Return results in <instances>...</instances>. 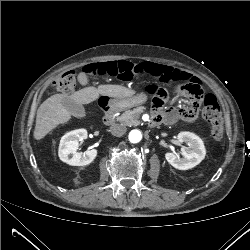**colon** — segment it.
Instances as JSON below:
<instances>
[{
	"label": "colon",
	"mask_w": 250,
	"mask_h": 250,
	"mask_svg": "<svg viewBox=\"0 0 250 250\" xmlns=\"http://www.w3.org/2000/svg\"><path fill=\"white\" fill-rule=\"evenodd\" d=\"M143 70L139 65H134L126 61H115L90 64L83 69V73L87 76H110L119 80H129L135 73ZM75 85L76 74L72 70L63 73L53 82V87L63 93L72 92ZM161 89L163 88L153 91L155 98L159 97ZM189 94L195 97L199 94V91L191 90ZM203 103V117L210 126L211 137L214 141L220 142L223 138V122L219 103L212 94L204 95Z\"/></svg>",
	"instance_id": "colon-1"
}]
</instances>
